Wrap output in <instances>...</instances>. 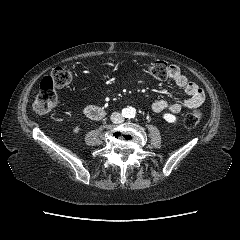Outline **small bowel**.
<instances>
[{"instance_id":"small-bowel-1","label":"small bowel","mask_w":240,"mask_h":240,"mask_svg":"<svg viewBox=\"0 0 240 240\" xmlns=\"http://www.w3.org/2000/svg\"><path fill=\"white\" fill-rule=\"evenodd\" d=\"M177 86L182 88L186 95V99L176 102H170L166 99L156 100L152 103L151 109L154 113L159 114L168 111L177 114L184 109H196L200 107L205 100L204 91L194 82L189 81L175 65L169 66L168 76Z\"/></svg>"}]
</instances>
